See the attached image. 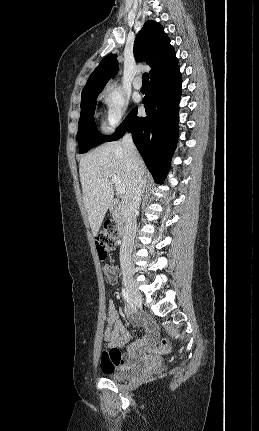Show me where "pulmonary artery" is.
<instances>
[{"label":"pulmonary artery","instance_id":"e3ab8cb5","mask_svg":"<svg viewBox=\"0 0 259 431\" xmlns=\"http://www.w3.org/2000/svg\"><path fill=\"white\" fill-rule=\"evenodd\" d=\"M133 86L135 89L140 90L142 88V81L140 77H136L134 82H133Z\"/></svg>","mask_w":259,"mask_h":431}]
</instances>
